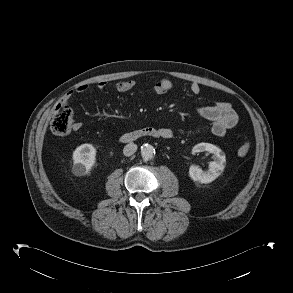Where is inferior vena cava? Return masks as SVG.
<instances>
[{
	"label": "inferior vena cava",
	"instance_id": "inferior-vena-cava-1",
	"mask_svg": "<svg viewBox=\"0 0 293 293\" xmlns=\"http://www.w3.org/2000/svg\"><path fill=\"white\" fill-rule=\"evenodd\" d=\"M137 150V145L134 144L133 142H130L129 144H127L124 149H123V154L125 156H131L133 155Z\"/></svg>",
	"mask_w": 293,
	"mask_h": 293
}]
</instances>
